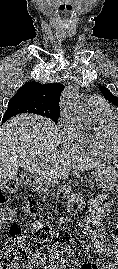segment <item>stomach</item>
<instances>
[{
	"mask_svg": "<svg viewBox=\"0 0 118 269\" xmlns=\"http://www.w3.org/2000/svg\"><path fill=\"white\" fill-rule=\"evenodd\" d=\"M96 184L104 193H109L114 190L118 173L115 168L110 166L97 167L94 173ZM118 194V188H117Z\"/></svg>",
	"mask_w": 118,
	"mask_h": 269,
	"instance_id": "obj_1",
	"label": "stomach"
}]
</instances>
